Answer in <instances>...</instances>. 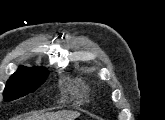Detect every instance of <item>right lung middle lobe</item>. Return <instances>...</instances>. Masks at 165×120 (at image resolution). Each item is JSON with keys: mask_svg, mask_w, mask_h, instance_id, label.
<instances>
[{"mask_svg": "<svg viewBox=\"0 0 165 120\" xmlns=\"http://www.w3.org/2000/svg\"><path fill=\"white\" fill-rule=\"evenodd\" d=\"M47 69L19 67L7 81L3 92L5 101H12L34 92L46 80Z\"/></svg>", "mask_w": 165, "mask_h": 120, "instance_id": "right-lung-middle-lobe-1", "label": "right lung middle lobe"}]
</instances>
